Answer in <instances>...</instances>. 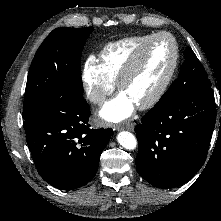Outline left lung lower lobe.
<instances>
[{
	"mask_svg": "<svg viewBox=\"0 0 221 221\" xmlns=\"http://www.w3.org/2000/svg\"><path fill=\"white\" fill-rule=\"evenodd\" d=\"M215 117L211 88L160 99L135 127L139 175L158 188L189 181L204 164Z\"/></svg>",
	"mask_w": 221,
	"mask_h": 221,
	"instance_id": "obj_1",
	"label": "left lung lower lobe"
}]
</instances>
